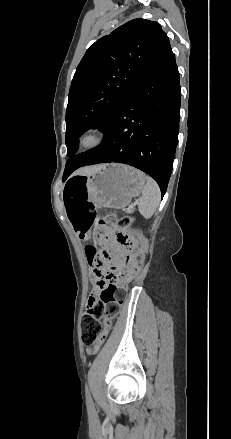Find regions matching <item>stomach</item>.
<instances>
[{"label":"stomach","mask_w":231,"mask_h":439,"mask_svg":"<svg viewBox=\"0 0 231 439\" xmlns=\"http://www.w3.org/2000/svg\"><path fill=\"white\" fill-rule=\"evenodd\" d=\"M88 199L97 207L124 208L138 196L146 177L141 171L123 164H107L83 176Z\"/></svg>","instance_id":"obj_1"}]
</instances>
